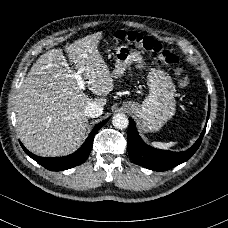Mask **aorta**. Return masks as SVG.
Returning a JSON list of instances; mask_svg holds the SVG:
<instances>
[{
    "instance_id": "1",
    "label": "aorta",
    "mask_w": 228,
    "mask_h": 228,
    "mask_svg": "<svg viewBox=\"0 0 228 228\" xmlns=\"http://www.w3.org/2000/svg\"><path fill=\"white\" fill-rule=\"evenodd\" d=\"M112 124L115 128L124 130L129 126V120L125 114H116L112 119Z\"/></svg>"
}]
</instances>
